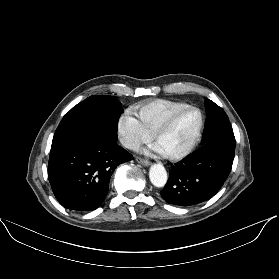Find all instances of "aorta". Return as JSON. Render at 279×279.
<instances>
[{
  "label": "aorta",
  "mask_w": 279,
  "mask_h": 279,
  "mask_svg": "<svg viewBox=\"0 0 279 279\" xmlns=\"http://www.w3.org/2000/svg\"><path fill=\"white\" fill-rule=\"evenodd\" d=\"M149 178L154 186L163 187L167 182V172L161 164H153L149 170Z\"/></svg>",
  "instance_id": "aorta-1"
}]
</instances>
